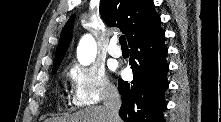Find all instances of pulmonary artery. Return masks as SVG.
Masks as SVG:
<instances>
[{"mask_svg":"<svg viewBox=\"0 0 221 122\" xmlns=\"http://www.w3.org/2000/svg\"><path fill=\"white\" fill-rule=\"evenodd\" d=\"M118 39L113 37L110 41L108 52L112 57L119 58L122 56V50L117 44Z\"/></svg>","mask_w":221,"mask_h":122,"instance_id":"e3ab8cb5","label":"pulmonary artery"}]
</instances>
